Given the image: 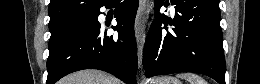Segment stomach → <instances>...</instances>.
Instances as JSON below:
<instances>
[{
	"instance_id": "1",
	"label": "stomach",
	"mask_w": 260,
	"mask_h": 84,
	"mask_svg": "<svg viewBox=\"0 0 260 84\" xmlns=\"http://www.w3.org/2000/svg\"><path fill=\"white\" fill-rule=\"evenodd\" d=\"M151 84H181V81L172 76H162L154 79Z\"/></svg>"
}]
</instances>
